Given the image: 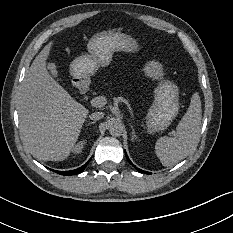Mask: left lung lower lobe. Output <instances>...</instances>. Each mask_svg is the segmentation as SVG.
Wrapping results in <instances>:
<instances>
[{
    "label": "left lung lower lobe",
    "instance_id": "0a47b994",
    "mask_svg": "<svg viewBox=\"0 0 233 233\" xmlns=\"http://www.w3.org/2000/svg\"><path fill=\"white\" fill-rule=\"evenodd\" d=\"M126 157H127L128 161L131 163V161L129 160L127 154H126ZM131 164H132V163H131ZM132 165H133V164H132ZM133 166H134V165H133ZM137 170L140 171V172H145V171H142V170H140V169H137ZM145 173L149 174L148 172H145Z\"/></svg>",
    "mask_w": 233,
    "mask_h": 233
}]
</instances>
